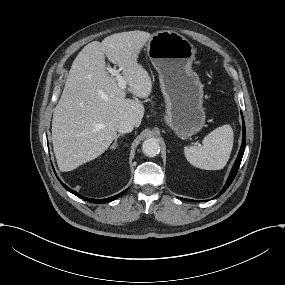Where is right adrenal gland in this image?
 Here are the masks:
<instances>
[{"mask_svg": "<svg viewBox=\"0 0 285 285\" xmlns=\"http://www.w3.org/2000/svg\"><path fill=\"white\" fill-rule=\"evenodd\" d=\"M120 136H123V134L119 133V134L116 135L115 141H114V143H113V144L111 145V147H110L111 149H116V147L118 146L117 141H118V138H119Z\"/></svg>", "mask_w": 285, "mask_h": 285, "instance_id": "obj_1", "label": "right adrenal gland"}]
</instances>
